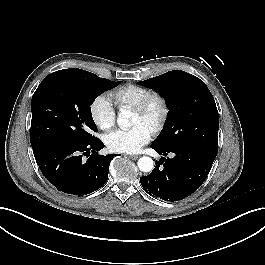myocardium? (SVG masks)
Listing matches in <instances>:
<instances>
[{
  "instance_id": "myocardium-1",
  "label": "myocardium",
  "mask_w": 265,
  "mask_h": 265,
  "mask_svg": "<svg viewBox=\"0 0 265 265\" xmlns=\"http://www.w3.org/2000/svg\"><path fill=\"white\" fill-rule=\"evenodd\" d=\"M154 107H157V112L154 116H151V110ZM132 110L148 120L150 130L153 133L161 131L169 115L167 99L163 94L157 91H152L148 94L139 104L133 107Z\"/></svg>"
}]
</instances>
